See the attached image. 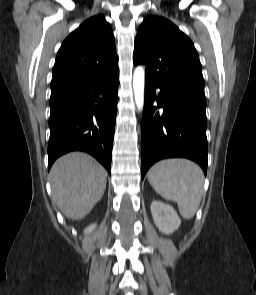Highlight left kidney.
I'll list each match as a JSON object with an SVG mask.
<instances>
[{
	"label": "left kidney",
	"mask_w": 256,
	"mask_h": 295,
	"mask_svg": "<svg viewBox=\"0 0 256 295\" xmlns=\"http://www.w3.org/2000/svg\"><path fill=\"white\" fill-rule=\"evenodd\" d=\"M151 213L155 225L164 234L173 233L181 224L180 217L175 209L161 201L152 202Z\"/></svg>",
	"instance_id": "5707ae66"
}]
</instances>
